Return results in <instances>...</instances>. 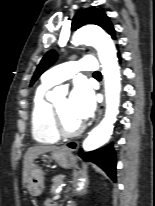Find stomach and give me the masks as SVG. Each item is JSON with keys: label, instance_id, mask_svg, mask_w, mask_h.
I'll return each mask as SVG.
<instances>
[{"label": "stomach", "instance_id": "0dacf381", "mask_svg": "<svg viewBox=\"0 0 155 206\" xmlns=\"http://www.w3.org/2000/svg\"><path fill=\"white\" fill-rule=\"evenodd\" d=\"M51 158L63 168H69L76 163L75 156L65 148L53 151ZM26 187L28 192L34 197L42 193L44 188V175L37 166L31 169Z\"/></svg>", "mask_w": 155, "mask_h": 206}]
</instances>
